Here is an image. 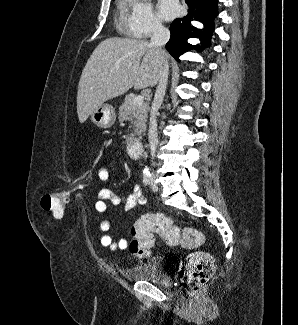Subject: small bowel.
Here are the masks:
<instances>
[{"label": "small bowel", "mask_w": 298, "mask_h": 325, "mask_svg": "<svg viewBox=\"0 0 298 325\" xmlns=\"http://www.w3.org/2000/svg\"><path fill=\"white\" fill-rule=\"evenodd\" d=\"M117 157L122 156V152L117 150L115 152ZM107 158H103V162H106ZM98 178L102 181H106L109 178V171L106 167H101L98 170ZM107 201H110L114 205L122 204L126 211L132 210L138 205H143L145 203V198L141 192V189L138 185H134L131 188L129 194L121 193L117 195L113 193L110 189L104 188L101 189L98 193V200L95 203V209L98 213H106L107 211ZM110 222L108 220H103L100 223V231L102 235L100 237V244L103 247L115 250L121 249L124 250L128 247V241L125 238H120L118 241H114L113 237L109 234Z\"/></svg>", "instance_id": "1"}]
</instances>
